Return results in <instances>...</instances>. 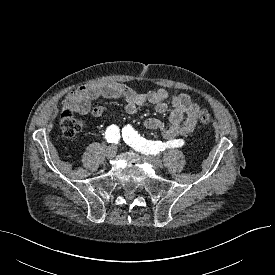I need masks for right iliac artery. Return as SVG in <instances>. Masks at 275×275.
<instances>
[{
	"label": "right iliac artery",
	"instance_id": "82829eb1",
	"mask_svg": "<svg viewBox=\"0 0 275 275\" xmlns=\"http://www.w3.org/2000/svg\"><path fill=\"white\" fill-rule=\"evenodd\" d=\"M105 138L108 143H117L120 138L119 128L116 125H111L105 132Z\"/></svg>",
	"mask_w": 275,
	"mask_h": 275
}]
</instances>
